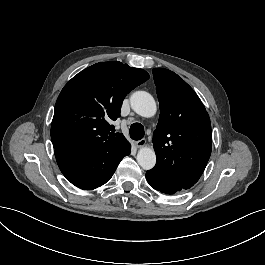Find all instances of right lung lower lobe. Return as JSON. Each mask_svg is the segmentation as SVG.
Returning <instances> with one entry per match:
<instances>
[{
  "label": "right lung lower lobe",
  "instance_id": "obj_1",
  "mask_svg": "<svg viewBox=\"0 0 265 265\" xmlns=\"http://www.w3.org/2000/svg\"><path fill=\"white\" fill-rule=\"evenodd\" d=\"M131 145L114 142L99 149H55L57 164L63 175L75 186L91 190L110 180Z\"/></svg>",
  "mask_w": 265,
  "mask_h": 265
}]
</instances>
